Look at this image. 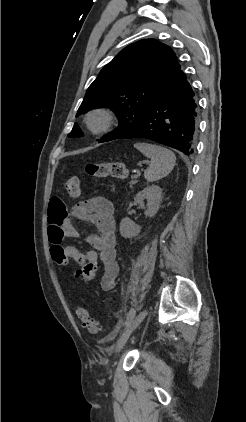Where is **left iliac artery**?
I'll list each match as a JSON object with an SVG mask.
<instances>
[{"label": "left iliac artery", "mask_w": 246, "mask_h": 422, "mask_svg": "<svg viewBox=\"0 0 246 422\" xmlns=\"http://www.w3.org/2000/svg\"><path fill=\"white\" fill-rule=\"evenodd\" d=\"M135 313H136V311H135L134 308H131L129 310V312L127 314V318H126V323H125L126 326H128L133 321V319L135 317Z\"/></svg>", "instance_id": "44dca946"}]
</instances>
